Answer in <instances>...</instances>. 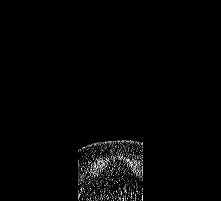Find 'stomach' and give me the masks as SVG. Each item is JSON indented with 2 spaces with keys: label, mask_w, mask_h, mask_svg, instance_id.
<instances>
[{
  "label": "stomach",
  "mask_w": 221,
  "mask_h": 201,
  "mask_svg": "<svg viewBox=\"0 0 221 201\" xmlns=\"http://www.w3.org/2000/svg\"><path fill=\"white\" fill-rule=\"evenodd\" d=\"M128 186V184H125L124 189Z\"/></svg>",
  "instance_id": "stomach-1"
}]
</instances>
